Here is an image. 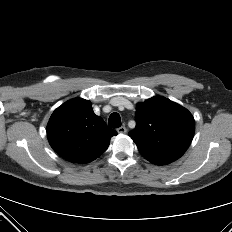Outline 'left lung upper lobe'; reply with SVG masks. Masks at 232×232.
Returning <instances> with one entry per match:
<instances>
[{
  "instance_id": "1",
  "label": "left lung upper lobe",
  "mask_w": 232,
  "mask_h": 232,
  "mask_svg": "<svg viewBox=\"0 0 232 232\" xmlns=\"http://www.w3.org/2000/svg\"><path fill=\"white\" fill-rule=\"evenodd\" d=\"M194 132L195 121L187 109L155 96L137 105L136 129L128 135L148 161L165 165L185 153Z\"/></svg>"
}]
</instances>
